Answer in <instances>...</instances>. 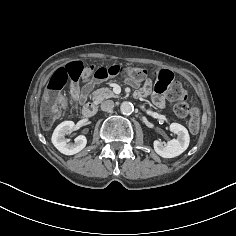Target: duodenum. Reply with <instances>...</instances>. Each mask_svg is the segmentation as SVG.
<instances>
[{"mask_svg":"<svg viewBox=\"0 0 236 236\" xmlns=\"http://www.w3.org/2000/svg\"><path fill=\"white\" fill-rule=\"evenodd\" d=\"M96 114V106L93 103H87L82 110V115L86 119L93 118Z\"/></svg>","mask_w":236,"mask_h":236,"instance_id":"410a0bca","label":"duodenum"}]
</instances>
